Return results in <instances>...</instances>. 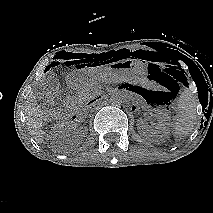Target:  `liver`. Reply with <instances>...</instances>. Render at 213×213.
Masks as SVG:
<instances>
[{"instance_id": "1", "label": "liver", "mask_w": 213, "mask_h": 213, "mask_svg": "<svg viewBox=\"0 0 213 213\" xmlns=\"http://www.w3.org/2000/svg\"><path fill=\"white\" fill-rule=\"evenodd\" d=\"M106 71L111 70L107 69ZM35 99V95L31 93L25 106V118L30 135L36 142L42 143L44 138L43 112L40 107L36 106Z\"/></svg>"}]
</instances>
